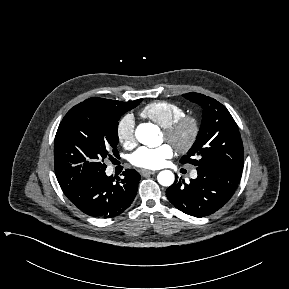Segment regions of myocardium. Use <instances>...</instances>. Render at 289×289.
Listing matches in <instances>:
<instances>
[{
	"mask_svg": "<svg viewBox=\"0 0 289 289\" xmlns=\"http://www.w3.org/2000/svg\"><path fill=\"white\" fill-rule=\"evenodd\" d=\"M199 133V120L188 114L180 116L169 126L163 128L165 140L180 153H187L193 148Z\"/></svg>",
	"mask_w": 289,
	"mask_h": 289,
	"instance_id": "1",
	"label": "myocardium"
}]
</instances>
